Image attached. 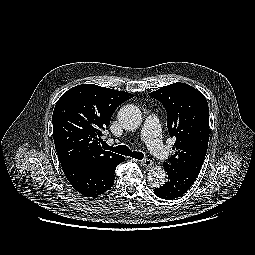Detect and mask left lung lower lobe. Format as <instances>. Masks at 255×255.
<instances>
[{
	"label": "left lung lower lobe",
	"instance_id": "left-lung-lower-lobe-1",
	"mask_svg": "<svg viewBox=\"0 0 255 255\" xmlns=\"http://www.w3.org/2000/svg\"><path fill=\"white\" fill-rule=\"evenodd\" d=\"M163 166L168 174V181L154 190L159 198L167 200L178 198L186 193L196 180L194 175L169 163H164Z\"/></svg>",
	"mask_w": 255,
	"mask_h": 255
}]
</instances>
